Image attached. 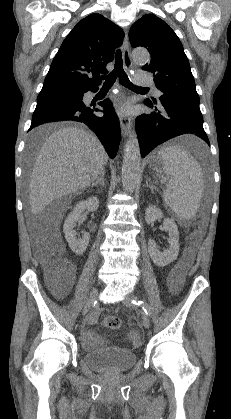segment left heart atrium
Masks as SVG:
<instances>
[{
	"mask_svg": "<svg viewBox=\"0 0 231 419\" xmlns=\"http://www.w3.org/2000/svg\"><path fill=\"white\" fill-rule=\"evenodd\" d=\"M126 110H127V108H123V109H122V111H126Z\"/></svg>",
	"mask_w": 231,
	"mask_h": 419,
	"instance_id": "obj_1",
	"label": "left heart atrium"
}]
</instances>
